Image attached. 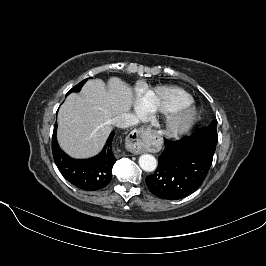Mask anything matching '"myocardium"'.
I'll list each match as a JSON object with an SVG mask.
<instances>
[{
  "mask_svg": "<svg viewBox=\"0 0 266 266\" xmlns=\"http://www.w3.org/2000/svg\"><path fill=\"white\" fill-rule=\"evenodd\" d=\"M198 118V110L192 104L179 107L166 114L162 131L168 137H180L187 133Z\"/></svg>",
  "mask_w": 266,
  "mask_h": 266,
  "instance_id": "obj_1",
  "label": "myocardium"
}]
</instances>
